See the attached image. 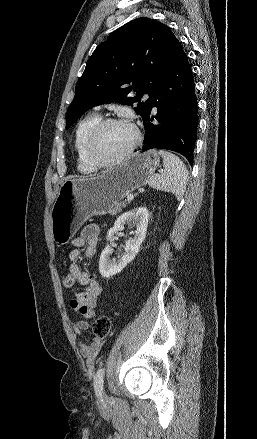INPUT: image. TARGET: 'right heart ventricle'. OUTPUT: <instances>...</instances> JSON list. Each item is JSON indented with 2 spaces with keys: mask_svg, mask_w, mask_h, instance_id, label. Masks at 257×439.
Returning <instances> with one entry per match:
<instances>
[{
  "mask_svg": "<svg viewBox=\"0 0 257 439\" xmlns=\"http://www.w3.org/2000/svg\"><path fill=\"white\" fill-rule=\"evenodd\" d=\"M102 120L97 113H92L83 118L77 125L74 135V149L77 156L78 169L86 174L95 171L96 167L89 161L85 152L86 139L91 130Z\"/></svg>",
  "mask_w": 257,
  "mask_h": 439,
  "instance_id": "1",
  "label": "right heart ventricle"
}]
</instances>
